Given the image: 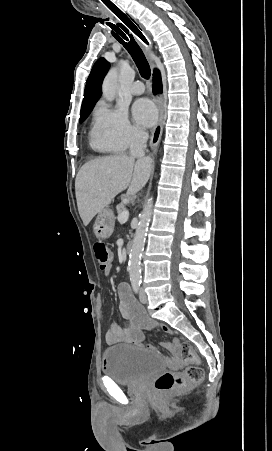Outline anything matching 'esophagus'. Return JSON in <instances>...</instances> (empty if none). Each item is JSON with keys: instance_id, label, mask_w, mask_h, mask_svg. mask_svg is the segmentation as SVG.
<instances>
[{"instance_id": "34e87169", "label": "esophagus", "mask_w": 272, "mask_h": 451, "mask_svg": "<svg viewBox=\"0 0 272 451\" xmlns=\"http://www.w3.org/2000/svg\"><path fill=\"white\" fill-rule=\"evenodd\" d=\"M134 24H135L136 28L133 27L131 29V31H132L133 35H135L137 37V39L142 43L146 54L149 55V53L152 49V42H151L150 38L144 32L142 27L139 25L137 20H135V19H134ZM148 58L150 60L152 69L155 68V65L152 62V60L150 59V57H148ZM155 102H156V105L158 108L159 118H158V121H157L154 129L152 130V134L150 137V147L152 150H156L157 145L161 140V135L163 132L164 108H163V96L160 92L157 93Z\"/></svg>"}]
</instances>
